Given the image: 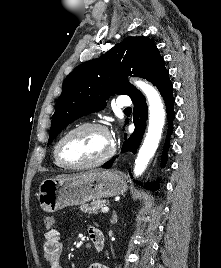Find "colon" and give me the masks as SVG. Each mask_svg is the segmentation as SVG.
<instances>
[{
    "label": "colon",
    "mask_w": 221,
    "mask_h": 268,
    "mask_svg": "<svg viewBox=\"0 0 221 268\" xmlns=\"http://www.w3.org/2000/svg\"><path fill=\"white\" fill-rule=\"evenodd\" d=\"M43 223L46 229H51L55 224V217L53 215H46L43 217Z\"/></svg>",
    "instance_id": "obj_1"
}]
</instances>
